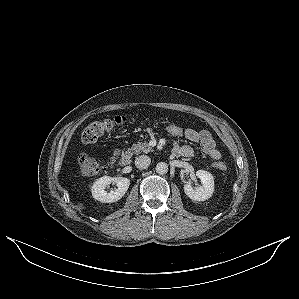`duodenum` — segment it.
I'll return each instance as SVG.
<instances>
[{
  "label": "duodenum",
  "mask_w": 299,
  "mask_h": 299,
  "mask_svg": "<svg viewBox=\"0 0 299 299\" xmlns=\"http://www.w3.org/2000/svg\"><path fill=\"white\" fill-rule=\"evenodd\" d=\"M131 163V154L129 152L124 153L119 159V165L126 167Z\"/></svg>",
  "instance_id": "duodenum-1"
}]
</instances>
